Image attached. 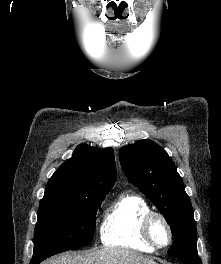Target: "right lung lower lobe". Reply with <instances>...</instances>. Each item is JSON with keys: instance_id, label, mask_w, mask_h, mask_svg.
Returning a JSON list of instances; mask_svg holds the SVG:
<instances>
[{"instance_id": "right-lung-lower-lobe-1", "label": "right lung lower lobe", "mask_w": 221, "mask_h": 264, "mask_svg": "<svg viewBox=\"0 0 221 264\" xmlns=\"http://www.w3.org/2000/svg\"><path fill=\"white\" fill-rule=\"evenodd\" d=\"M44 259H32L30 264H39Z\"/></svg>"}]
</instances>
